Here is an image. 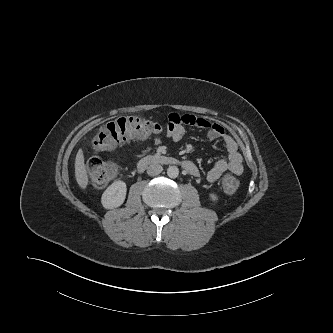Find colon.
Here are the masks:
<instances>
[{
  "label": "colon",
  "instance_id": "1",
  "mask_svg": "<svg viewBox=\"0 0 333 333\" xmlns=\"http://www.w3.org/2000/svg\"><path fill=\"white\" fill-rule=\"evenodd\" d=\"M162 130L163 127L159 123L143 117H122L100 128L93 138V146L99 151H108L119 144L133 139L148 138ZM87 169L97 186L106 185L118 173L116 164L98 158H91L87 163ZM238 186L239 182L233 175H226L222 180V188L227 193L235 192Z\"/></svg>",
  "mask_w": 333,
  "mask_h": 333
}]
</instances>
